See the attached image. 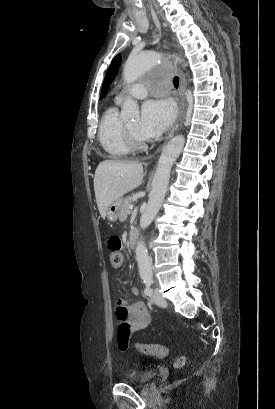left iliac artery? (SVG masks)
Instances as JSON below:
<instances>
[{
	"instance_id": "left-iliac-artery-1",
	"label": "left iliac artery",
	"mask_w": 275,
	"mask_h": 409,
	"mask_svg": "<svg viewBox=\"0 0 275 409\" xmlns=\"http://www.w3.org/2000/svg\"><path fill=\"white\" fill-rule=\"evenodd\" d=\"M143 282L145 284V289H144V293L147 296H151L153 293V290L151 288L152 284H153V278L151 275L147 276V277H143Z\"/></svg>"
}]
</instances>
